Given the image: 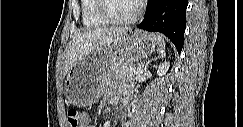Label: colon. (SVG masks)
<instances>
[{
    "mask_svg": "<svg viewBox=\"0 0 243 127\" xmlns=\"http://www.w3.org/2000/svg\"><path fill=\"white\" fill-rule=\"evenodd\" d=\"M67 120L70 127H83L85 123L83 116L76 109H70L67 112Z\"/></svg>",
    "mask_w": 243,
    "mask_h": 127,
    "instance_id": "1",
    "label": "colon"
}]
</instances>
